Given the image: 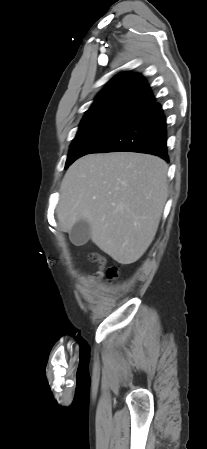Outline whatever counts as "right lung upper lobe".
Wrapping results in <instances>:
<instances>
[{"label":"right lung upper lobe","instance_id":"obj_1","mask_svg":"<svg viewBox=\"0 0 207 449\" xmlns=\"http://www.w3.org/2000/svg\"><path fill=\"white\" fill-rule=\"evenodd\" d=\"M155 101L141 75L122 72L112 78L97 95L85 116L117 110L137 113Z\"/></svg>","mask_w":207,"mask_h":449}]
</instances>
